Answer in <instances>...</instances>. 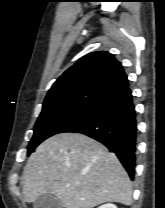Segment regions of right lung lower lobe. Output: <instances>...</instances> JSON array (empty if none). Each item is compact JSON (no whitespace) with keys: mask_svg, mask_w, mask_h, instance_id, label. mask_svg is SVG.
<instances>
[{"mask_svg":"<svg viewBox=\"0 0 165 208\" xmlns=\"http://www.w3.org/2000/svg\"><path fill=\"white\" fill-rule=\"evenodd\" d=\"M64 132L82 133L104 144L134 179L137 125L129 87L99 101L88 115Z\"/></svg>","mask_w":165,"mask_h":208,"instance_id":"obj_1","label":"right lung lower lobe"}]
</instances>
